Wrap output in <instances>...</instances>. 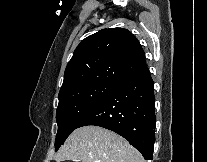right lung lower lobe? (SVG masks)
<instances>
[{
  "label": "right lung lower lobe",
  "mask_w": 207,
  "mask_h": 162,
  "mask_svg": "<svg viewBox=\"0 0 207 162\" xmlns=\"http://www.w3.org/2000/svg\"><path fill=\"white\" fill-rule=\"evenodd\" d=\"M153 80L147 67L127 76L82 120L127 139L145 160H152L155 113Z\"/></svg>",
  "instance_id": "right-lung-lower-lobe-1"
}]
</instances>
